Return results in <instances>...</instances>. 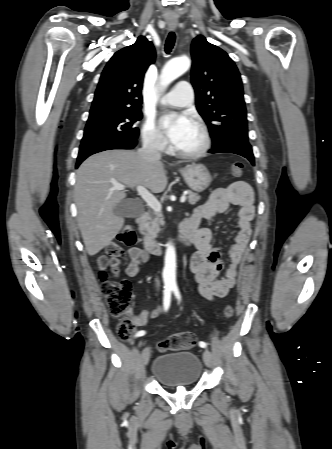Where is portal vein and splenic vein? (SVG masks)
Here are the masks:
<instances>
[{"mask_svg":"<svg viewBox=\"0 0 332 449\" xmlns=\"http://www.w3.org/2000/svg\"><path fill=\"white\" fill-rule=\"evenodd\" d=\"M125 188L126 187L124 185L116 184V183H114V186H113L114 190L124 191ZM137 191H138V194L147 203L148 206H150L155 212H161V209H162L161 203L144 186L138 185ZM185 201H186V196L183 195L180 198V202L184 203Z\"/></svg>","mask_w":332,"mask_h":449,"instance_id":"portal-vein-and-splenic-vein-1","label":"portal vein and splenic vein"}]
</instances>
